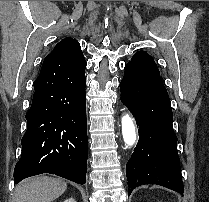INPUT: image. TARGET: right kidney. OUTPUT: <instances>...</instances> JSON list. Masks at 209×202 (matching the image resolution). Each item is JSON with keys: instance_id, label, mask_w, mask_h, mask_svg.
Here are the masks:
<instances>
[{"instance_id": "right-kidney-1", "label": "right kidney", "mask_w": 209, "mask_h": 202, "mask_svg": "<svg viewBox=\"0 0 209 202\" xmlns=\"http://www.w3.org/2000/svg\"><path fill=\"white\" fill-rule=\"evenodd\" d=\"M64 202H76L73 198L67 199Z\"/></svg>"}]
</instances>
